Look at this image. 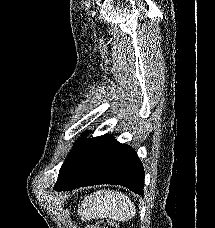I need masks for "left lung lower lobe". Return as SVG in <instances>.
<instances>
[{
	"label": "left lung lower lobe",
	"mask_w": 215,
	"mask_h": 228,
	"mask_svg": "<svg viewBox=\"0 0 215 228\" xmlns=\"http://www.w3.org/2000/svg\"><path fill=\"white\" fill-rule=\"evenodd\" d=\"M144 169L136 152L111 134L84 140L60 169L56 191L118 184L143 195Z\"/></svg>",
	"instance_id": "left-lung-lower-lobe-1"
}]
</instances>
